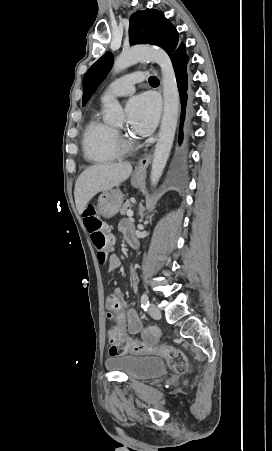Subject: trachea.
<instances>
[{"label": "trachea", "instance_id": "trachea-1", "mask_svg": "<svg viewBox=\"0 0 272 451\" xmlns=\"http://www.w3.org/2000/svg\"><path fill=\"white\" fill-rule=\"evenodd\" d=\"M149 83L150 84H159V80L156 77H150L149 78Z\"/></svg>", "mask_w": 272, "mask_h": 451}]
</instances>
